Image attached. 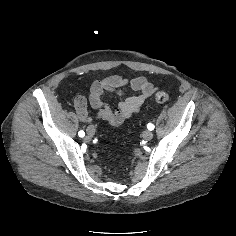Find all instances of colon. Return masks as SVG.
Returning <instances> with one entry per match:
<instances>
[{"label": "colon", "instance_id": "1", "mask_svg": "<svg viewBox=\"0 0 236 236\" xmlns=\"http://www.w3.org/2000/svg\"><path fill=\"white\" fill-rule=\"evenodd\" d=\"M154 98L157 103H165L170 100V95L166 92L159 91L155 94Z\"/></svg>", "mask_w": 236, "mask_h": 236}]
</instances>
